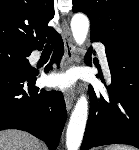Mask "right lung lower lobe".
<instances>
[{
  "label": "right lung lower lobe",
  "instance_id": "98d812e1",
  "mask_svg": "<svg viewBox=\"0 0 139 150\" xmlns=\"http://www.w3.org/2000/svg\"><path fill=\"white\" fill-rule=\"evenodd\" d=\"M50 39L55 48L45 71L59 64L64 53L60 35L55 32ZM36 75L32 68L0 64V130L27 131L43 140L49 150H56L67 118L64 98L61 92L36 87Z\"/></svg>",
  "mask_w": 139,
  "mask_h": 150
}]
</instances>
